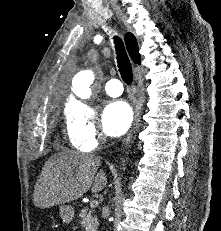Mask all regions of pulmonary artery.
<instances>
[{
    "mask_svg": "<svg viewBox=\"0 0 221 231\" xmlns=\"http://www.w3.org/2000/svg\"><path fill=\"white\" fill-rule=\"evenodd\" d=\"M105 92L111 97H119L123 92V87L118 79H111L105 85Z\"/></svg>",
    "mask_w": 221,
    "mask_h": 231,
    "instance_id": "obj_1",
    "label": "pulmonary artery"
}]
</instances>
